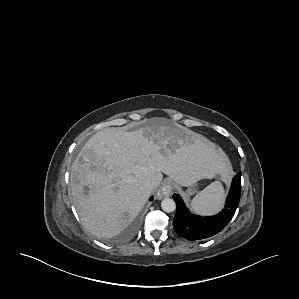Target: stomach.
Segmentation results:
<instances>
[{"label": "stomach", "instance_id": "1", "mask_svg": "<svg viewBox=\"0 0 299 299\" xmlns=\"http://www.w3.org/2000/svg\"><path fill=\"white\" fill-rule=\"evenodd\" d=\"M195 186H196V185L194 184V185L188 187V189H187L186 192H185V196H186L187 198H189L191 195L194 194V192H196V188H195Z\"/></svg>", "mask_w": 299, "mask_h": 299}]
</instances>
